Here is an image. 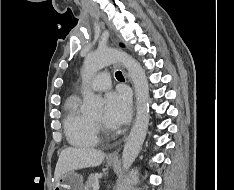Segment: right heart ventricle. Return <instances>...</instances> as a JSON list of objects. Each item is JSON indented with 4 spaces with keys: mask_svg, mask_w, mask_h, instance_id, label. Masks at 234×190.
Instances as JSON below:
<instances>
[{
    "mask_svg": "<svg viewBox=\"0 0 234 190\" xmlns=\"http://www.w3.org/2000/svg\"><path fill=\"white\" fill-rule=\"evenodd\" d=\"M64 131L68 142L75 147H93L99 142L98 130L92 119L80 108V98L70 96L64 105Z\"/></svg>",
    "mask_w": 234,
    "mask_h": 190,
    "instance_id": "e07e8e85",
    "label": "right heart ventricle"
}]
</instances>
